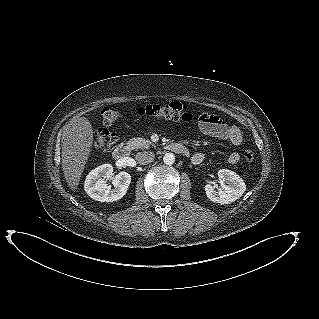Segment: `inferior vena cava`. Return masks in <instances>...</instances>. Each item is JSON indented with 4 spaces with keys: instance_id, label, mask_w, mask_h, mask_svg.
I'll return each mask as SVG.
<instances>
[{
    "instance_id": "602c4592",
    "label": "inferior vena cava",
    "mask_w": 319,
    "mask_h": 319,
    "mask_svg": "<svg viewBox=\"0 0 319 319\" xmlns=\"http://www.w3.org/2000/svg\"><path fill=\"white\" fill-rule=\"evenodd\" d=\"M136 160L141 165L150 164L153 162L155 155L151 151H143L136 154Z\"/></svg>"
}]
</instances>
